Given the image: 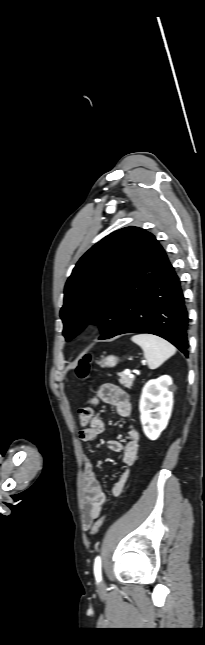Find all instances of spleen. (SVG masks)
Here are the masks:
<instances>
[{
	"instance_id": "3e777b00",
	"label": "spleen",
	"mask_w": 205,
	"mask_h": 645,
	"mask_svg": "<svg viewBox=\"0 0 205 645\" xmlns=\"http://www.w3.org/2000/svg\"><path fill=\"white\" fill-rule=\"evenodd\" d=\"M131 340L143 349L144 357L152 370L161 366L176 352L172 344L152 334L134 335Z\"/></svg>"
}]
</instances>
